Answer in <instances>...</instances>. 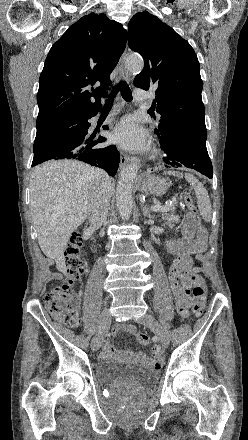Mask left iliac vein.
<instances>
[{
    "mask_svg": "<svg viewBox=\"0 0 248 440\" xmlns=\"http://www.w3.org/2000/svg\"><path fill=\"white\" fill-rule=\"evenodd\" d=\"M136 322L149 327L156 334L161 345L164 348L168 347L169 338L165 333L163 327L160 325V323L155 319V317L152 314L146 313L145 315L136 319Z\"/></svg>",
    "mask_w": 248,
    "mask_h": 440,
    "instance_id": "left-iliac-vein-1",
    "label": "left iliac vein"
}]
</instances>
